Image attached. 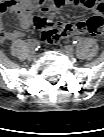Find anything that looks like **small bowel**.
I'll return each instance as SVG.
<instances>
[{"label": "small bowel", "instance_id": "1", "mask_svg": "<svg viewBox=\"0 0 104 137\" xmlns=\"http://www.w3.org/2000/svg\"><path fill=\"white\" fill-rule=\"evenodd\" d=\"M49 1L50 4L42 9L43 16L40 17H35L33 12L35 8L39 7L44 2V0H7L6 2L0 5V14L1 16H4L8 12H13L18 19L20 27L22 29H28L34 23L37 26V22L40 20H43L46 25H56V23L46 18L45 15L49 12L56 11L57 9H59L61 6L64 5H72L76 7L89 9L95 14L94 16H100L101 18L104 13V4L102 0H49ZM91 18L78 20L75 21L74 23H68L62 26H68L75 33H85L84 29L88 27ZM0 29L2 31L3 37L7 40H16L23 36L22 31L19 30L8 31L6 29L5 22L3 20H1L0 22Z\"/></svg>", "mask_w": 104, "mask_h": 137}]
</instances>
